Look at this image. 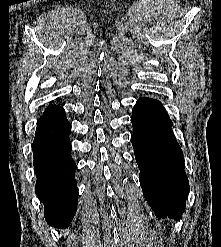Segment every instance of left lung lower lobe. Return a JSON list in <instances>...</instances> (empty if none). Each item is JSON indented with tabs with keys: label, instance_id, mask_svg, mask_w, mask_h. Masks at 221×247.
Returning a JSON list of instances; mask_svg holds the SVG:
<instances>
[{
	"label": "left lung lower lobe",
	"instance_id": "0a47b994",
	"mask_svg": "<svg viewBox=\"0 0 221 247\" xmlns=\"http://www.w3.org/2000/svg\"><path fill=\"white\" fill-rule=\"evenodd\" d=\"M131 122V142L145 199L156 217L181 218L189 182L172 121L158 100L143 97L132 110Z\"/></svg>",
	"mask_w": 221,
	"mask_h": 247
}]
</instances>
